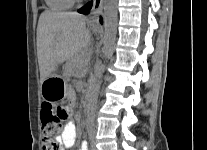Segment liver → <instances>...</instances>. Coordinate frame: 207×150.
<instances>
[{
    "mask_svg": "<svg viewBox=\"0 0 207 150\" xmlns=\"http://www.w3.org/2000/svg\"><path fill=\"white\" fill-rule=\"evenodd\" d=\"M89 42L90 31L84 16L72 12H43L37 27L41 82L50 77L59 64L85 51Z\"/></svg>",
    "mask_w": 207,
    "mask_h": 150,
    "instance_id": "1",
    "label": "liver"
}]
</instances>
